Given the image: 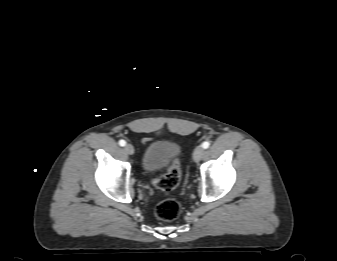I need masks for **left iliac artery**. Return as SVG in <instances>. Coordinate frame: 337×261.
Masks as SVG:
<instances>
[{
	"label": "left iliac artery",
	"instance_id": "obj_1",
	"mask_svg": "<svg viewBox=\"0 0 337 261\" xmlns=\"http://www.w3.org/2000/svg\"><path fill=\"white\" fill-rule=\"evenodd\" d=\"M209 146H210V143H209L208 141H205V142L202 143V147H203L204 149L209 148Z\"/></svg>",
	"mask_w": 337,
	"mask_h": 261
}]
</instances>
